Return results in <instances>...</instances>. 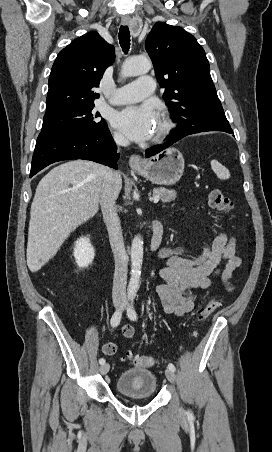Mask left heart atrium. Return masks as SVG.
<instances>
[{
    "mask_svg": "<svg viewBox=\"0 0 272 452\" xmlns=\"http://www.w3.org/2000/svg\"><path fill=\"white\" fill-rule=\"evenodd\" d=\"M114 123L129 139L145 141L155 132L157 112L150 104L129 106L116 114Z\"/></svg>",
    "mask_w": 272,
    "mask_h": 452,
    "instance_id": "1",
    "label": "left heart atrium"
}]
</instances>
